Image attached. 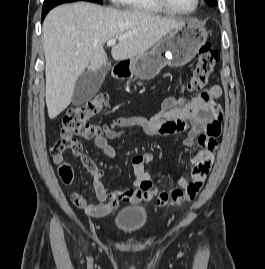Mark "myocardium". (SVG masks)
<instances>
[{
  "label": "myocardium",
  "mask_w": 265,
  "mask_h": 269,
  "mask_svg": "<svg viewBox=\"0 0 265 269\" xmlns=\"http://www.w3.org/2000/svg\"><path fill=\"white\" fill-rule=\"evenodd\" d=\"M154 2L164 11L175 13V14H185V15L194 13L198 9L199 4H200V0H195V5L192 9L180 10L171 6L167 0H154Z\"/></svg>",
  "instance_id": "1"
}]
</instances>
